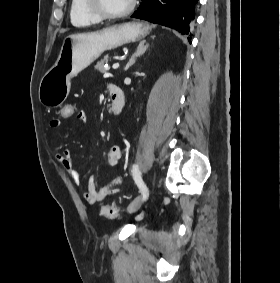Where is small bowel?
Instances as JSON below:
<instances>
[{
	"instance_id": "small-bowel-1",
	"label": "small bowel",
	"mask_w": 280,
	"mask_h": 283,
	"mask_svg": "<svg viewBox=\"0 0 280 283\" xmlns=\"http://www.w3.org/2000/svg\"><path fill=\"white\" fill-rule=\"evenodd\" d=\"M73 117L82 124L86 123L87 121V115L83 111L76 112V115ZM49 124L51 128L55 129L60 127L61 121L59 118H53L50 120ZM55 157L63 166L67 174L72 178V180L78 184L80 182V175L76 170L70 150L64 149L61 152H57ZM120 158L121 148L118 145L112 146L108 153V163L111 166H114L118 163ZM120 183L121 177L118 176L108 182L106 185L99 188L97 186L95 177L91 175L87 179V188L83 193V197L89 204H96L103 201L108 196L117 193L119 191L118 186Z\"/></svg>"
}]
</instances>
